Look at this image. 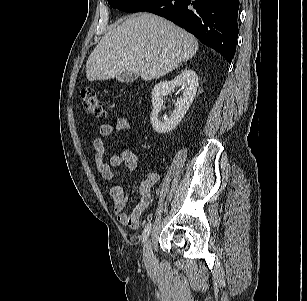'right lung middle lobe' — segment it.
<instances>
[{"label": "right lung middle lobe", "mask_w": 307, "mask_h": 301, "mask_svg": "<svg viewBox=\"0 0 307 301\" xmlns=\"http://www.w3.org/2000/svg\"><path fill=\"white\" fill-rule=\"evenodd\" d=\"M155 0H108L112 8H117L125 12H138Z\"/></svg>", "instance_id": "dd1d6c3e"}]
</instances>
